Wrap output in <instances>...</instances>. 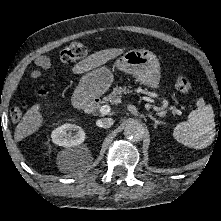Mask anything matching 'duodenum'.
<instances>
[{
    "label": "duodenum",
    "instance_id": "duodenum-1",
    "mask_svg": "<svg viewBox=\"0 0 221 221\" xmlns=\"http://www.w3.org/2000/svg\"><path fill=\"white\" fill-rule=\"evenodd\" d=\"M99 102L100 100L95 97L86 98L83 95H77L75 98V105L82 108L87 114L94 113L99 106Z\"/></svg>",
    "mask_w": 221,
    "mask_h": 221
}]
</instances>
